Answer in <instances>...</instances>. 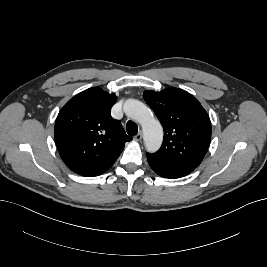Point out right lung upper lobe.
Listing matches in <instances>:
<instances>
[{"label": "right lung upper lobe", "instance_id": "right-lung-upper-lobe-1", "mask_svg": "<svg viewBox=\"0 0 267 267\" xmlns=\"http://www.w3.org/2000/svg\"><path fill=\"white\" fill-rule=\"evenodd\" d=\"M117 97L98 87L69 100L55 121V142L64 163L82 176H98L118 158L127 136L121 123L111 117Z\"/></svg>", "mask_w": 267, "mask_h": 267}]
</instances>
